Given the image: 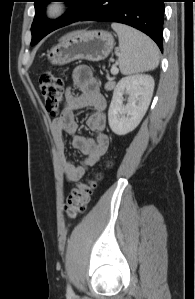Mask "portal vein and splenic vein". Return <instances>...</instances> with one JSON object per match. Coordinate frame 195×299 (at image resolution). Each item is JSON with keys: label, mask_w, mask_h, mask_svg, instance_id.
<instances>
[{"label": "portal vein and splenic vein", "mask_w": 195, "mask_h": 299, "mask_svg": "<svg viewBox=\"0 0 195 299\" xmlns=\"http://www.w3.org/2000/svg\"><path fill=\"white\" fill-rule=\"evenodd\" d=\"M118 72H119L118 68L115 65H113L111 68V73L113 75H116V74H118Z\"/></svg>", "instance_id": "1"}]
</instances>
